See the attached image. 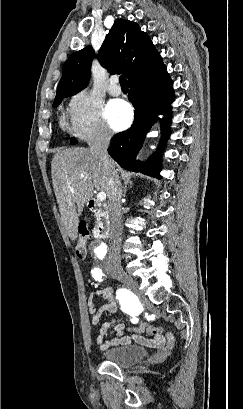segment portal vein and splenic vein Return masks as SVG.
Segmentation results:
<instances>
[{
	"mask_svg": "<svg viewBox=\"0 0 243 409\" xmlns=\"http://www.w3.org/2000/svg\"><path fill=\"white\" fill-rule=\"evenodd\" d=\"M96 198L98 201L102 202L106 199V193L101 191L96 195Z\"/></svg>",
	"mask_w": 243,
	"mask_h": 409,
	"instance_id": "portal-vein-and-splenic-vein-1",
	"label": "portal vein and splenic vein"
}]
</instances>
